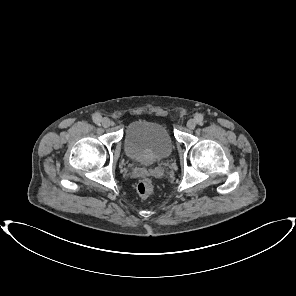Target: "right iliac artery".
<instances>
[{"label": "right iliac artery", "mask_w": 296, "mask_h": 296, "mask_svg": "<svg viewBox=\"0 0 296 296\" xmlns=\"http://www.w3.org/2000/svg\"><path fill=\"white\" fill-rule=\"evenodd\" d=\"M93 121L96 123V124H100L101 122V116L100 115H95L93 117Z\"/></svg>", "instance_id": "obj_1"}]
</instances>
